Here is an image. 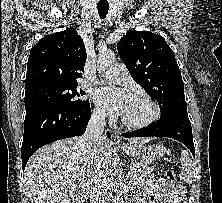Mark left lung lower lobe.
Here are the masks:
<instances>
[{
	"label": "left lung lower lobe",
	"mask_w": 222,
	"mask_h": 203,
	"mask_svg": "<svg viewBox=\"0 0 222 203\" xmlns=\"http://www.w3.org/2000/svg\"><path fill=\"white\" fill-rule=\"evenodd\" d=\"M125 138L163 136L182 142L195 156L191 123L187 109L173 108L161 114L160 119L147 127L122 134Z\"/></svg>",
	"instance_id": "1"
}]
</instances>
